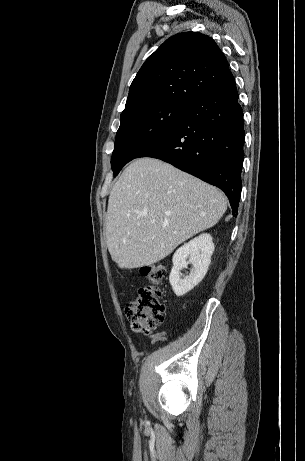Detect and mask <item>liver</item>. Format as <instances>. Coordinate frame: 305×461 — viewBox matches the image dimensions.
I'll use <instances>...</instances> for the list:
<instances>
[{
  "label": "liver",
  "mask_w": 305,
  "mask_h": 461,
  "mask_svg": "<svg viewBox=\"0 0 305 461\" xmlns=\"http://www.w3.org/2000/svg\"><path fill=\"white\" fill-rule=\"evenodd\" d=\"M227 209L224 194L154 158L133 161L108 200L106 243L119 268L152 265L206 230Z\"/></svg>",
  "instance_id": "obj_1"
}]
</instances>
